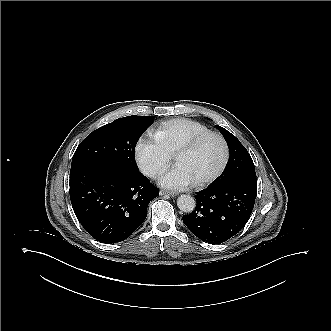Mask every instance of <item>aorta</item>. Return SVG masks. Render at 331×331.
<instances>
[{"mask_svg":"<svg viewBox=\"0 0 331 331\" xmlns=\"http://www.w3.org/2000/svg\"><path fill=\"white\" fill-rule=\"evenodd\" d=\"M177 206L182 212L191 213L196 207V201L192 196L182 194L177 199Z\"/></svg>","mask_w":331,"mask_h":331,"instance_id":"aorta-1","label":"aorta"}]
</instances>
